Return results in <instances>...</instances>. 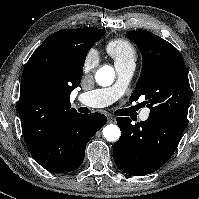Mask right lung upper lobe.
Listing matches in <instances>:
<instances>
[{"label":"right lung upper lobe","mask_w":199,"mask_h":199,"mask_svg":"<svg viewBox=\"0 0 199 199\" xmlns=\"http://www.w3.org/2000/svg\"><path fill=\"white\" fill-rule=\"evenodd\" d=\"M103 29L61 30L48 36L28 60L21 79L18 110L25 142L56 134L70 108V94L83 74L82 38ZM87 55V54H86Z\"/></svg>","instance_id":"cb5924a9"}]
</instances>
